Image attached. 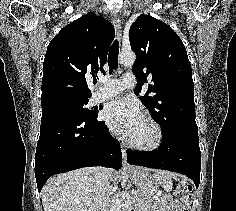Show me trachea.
Wrapping results in <instances>:
<instances>
[{"instance_id":"trachea-1","label":"trachea","mask_w":236,"mask_h":211,"mask_svg":"<svg viewBox=\"0 0 236 211\" xmlns=\"http://www.w3.org/2000/svg\"><path fill=\"white\" fill-rule=\"evenodd\" d=\"M119 42L115 40L108 54L109 74L118 67Z\"/></svg>"}]
</instances>
